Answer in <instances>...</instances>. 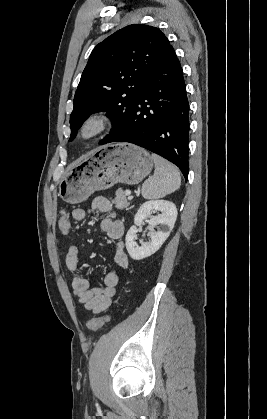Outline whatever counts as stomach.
Segmentation results:
<instances>
[{"label":"stomach","mask_w":267,"mask_h":419,"mask_svg":"<svg viewBox=\"0 0 267 419\" xmlns=\"http://www.w3.org/2000/svg\"><path fill=\"white\" fill-rule=\"evenodd\" d=\"M152 168V156L143 148L129 143L102 146L68 169L58 195L67 203H81L116 183L138 184Z\"/></svg>","instance_id":"obj_1"}]
</instances>
